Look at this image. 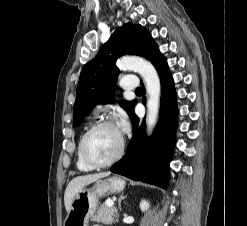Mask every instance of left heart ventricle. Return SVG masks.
Wrapping results in <instances>:
<instances>
[{
	"mask_svg": "<svg viewBox=\"0 0 247 226\" xmlns=\"http://www.w3.org/2000/svg\"><path fill=\"white\" fill-rule=\"evenodd\" d=\"M121 138V133L117 128H101L88 137L85 146L86 153L96 163L108 161L118 152Z\"/></svg>",
	"mask_w": 247,
	"mask_h": 226,
	"instance_id": "b2bd125f",
	"label": "left heart ventricle"
}]
</instances>
